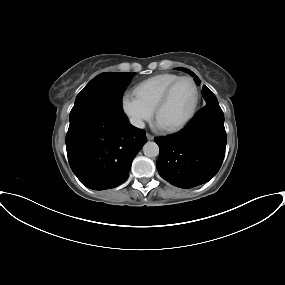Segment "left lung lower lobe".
<instances>
[{
    "instance_id": "1",
    "label": "left lung lower lobe",
    "mask_w": 285,
    "mask_h": 285,
    "mask_svg": "<svg viewBox=\"0 0 285 285\" xmlns=\"http://www.w3.org/2000/svg\"><path fill=\"white\" fill-rule=\"evenodd\" d=\"M226 141L221 108L201 109L179 134L155 138L160 176L185 189L208 182L221 167Z\"/></svg>"
}]
</instances>
